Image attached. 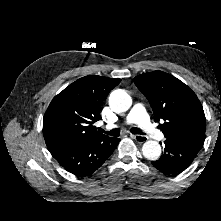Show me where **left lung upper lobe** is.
Returning <instances> with one entry per match:
<instances>
[{"instance_id":"5c2ea615","label":"left lung upper lobe","mask_w":221,"mask_h":221,"mask_svg":"<svg viewBox=\"0 0 221 221\" xmlns=\"http://www.w3.org/2000/svg\"><path fill=\"white\" fill-rule=\"evenodd\" d=\"M138 89L148 99L154 119L166 138L205 136L206 119L196 94L174 76L154 71L134 78Z\"/></svg>"}]
</instances>
